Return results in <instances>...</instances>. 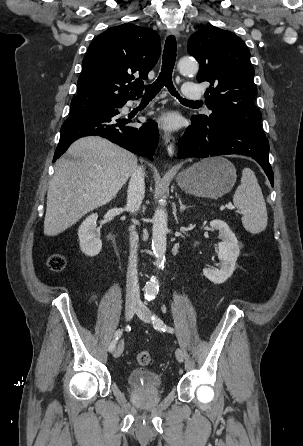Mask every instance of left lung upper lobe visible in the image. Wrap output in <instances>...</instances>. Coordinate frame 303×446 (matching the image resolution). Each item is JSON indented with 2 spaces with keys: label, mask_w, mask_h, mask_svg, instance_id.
Segmentation results:
<instances>
[{
  "label": "left lung upper lobe",
  "mask_w": 303,
  "mask_h": 446,
  "mask_svg": "<svg viewBox=\"0 0 303 446\" xmlns=\"http://www.w3.org/2000/svg\"><path fill=\"white\" fill-rule=\"evenodd\" d=\"M188 53L200 63L197 81L210 82L205 103L212 110L210 116L194 115L192 119L218 121L265 136L262 115L254 104V69L244 42L230 31L204 26L190 37Z\"/></svg>",
  "instance_id": "5c2ea615"
}]
</instances>
